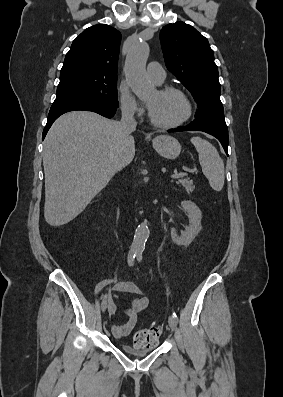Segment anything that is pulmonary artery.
Returning <instances> with one entry per match:
<instances>
[{
  "mask_svg": "<svg viewBox=\"0 0 283 397\" xmlns=\"http://www.w3.org/2000/svg\"><path fill=\"white\" fill-rule=\"evenodd\" d=\"M147 74L157 84H162L166 77L163 67L155 61L148 64Z\"/></svg>",
  "mask_w": 283,
  "mask_h": 397,
  "instance_id": "1",
  "label": "pulmonary artery"
}]
</instances>
